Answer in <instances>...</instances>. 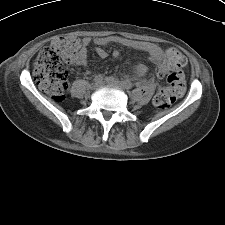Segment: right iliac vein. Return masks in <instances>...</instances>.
Returning a JSON list of instances; mask_svg holds the SVG:
<instances>
[{
	"label": "right iliac vein",
	"instance_id": "1",
	"mask_svg": "<svg viewBox=\"0 0 225 225\" xmlns=\"http://www.w3.org/2000/svg\"><path fill=\"white\" fill-rule=\"evenodd\" d=\"M101 85H102V82H95V83L93 84V88H94V89H97V88H99Z\"/></svg>",
	"mask_w": 225,
	"mask_h": 225
}]
</instances>
